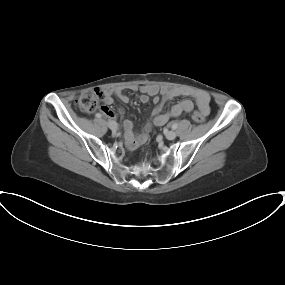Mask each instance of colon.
I'll use <instances>...</instances> for the list:
<instances>
[{"instance_id":"1","label":"colon","mask_w":285,"mask_h":285,"mask_svg":"<svg viewBox=\"0 0 285 285\" xmlns=\"http://www.w3.org/2000/svg\"><path fill=\"white\" fill-rule=\"evenodd\" d=\"M102 99L103 92L100 89H92L81 93L77 97L75 104L82 112L91 113L98 108ZM192 118L198 123L205 121V115L201 111H194Z\"/></svg>"}]
</instances>
